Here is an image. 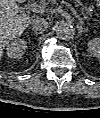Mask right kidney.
Listing matches in <instances>:
<instances>
[{
	"instance_id": "obj_1",
	"label": "right kidney",
	"mask_w": 100,
	"mask_h": 118,
	"mask_svg": "<svg viewBox=\"0 0 100 118\" xmlns=\"http://www.w3.org/2000/svg\"><path fill=\"white\" fill-rule=\"evenodd\" d=\"M6 49L9 58H20L27 49V42L23 39H17L8 44Z\"/></svg>"
}]
</instances>
